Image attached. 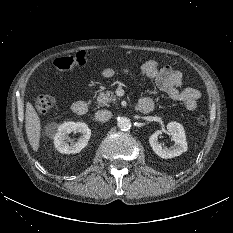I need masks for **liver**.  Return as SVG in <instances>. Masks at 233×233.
<instances>
[{
    "label": "liver",
    "instance_id": "6515ba94",
    "mask_svg": "<svg viewBox=\"0 0 233 233\" xmlns=\"http://www.w3.org/2000/svg\"><path fill=\"white\" fill-rule=\"evenodd\" d=\"M25 129L29 143L34 151H38L41 123L38 114L30 102L26 103Z\"/></svg>",
    "mask_w": 233,
    "mask_h": 233
}]
</instances>
